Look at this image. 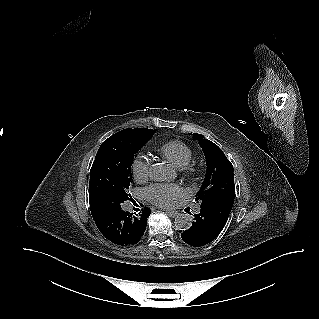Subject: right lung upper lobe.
I'll return each instance as SVG.
<instances>
[{
	"label": "right lung upper lobe",
	"mask_w": 319,
	"mask_h": 319,
	"mask_svg": "<svg viewBox=\"0 0 319 319\" xmlns=\"http://www.w3.org/2000/svg\"><path fill=\"white\" fill-rule=\"evenodd\" d=\"M130 135L137 137V138H145L148 136L150 129L147 128H136V129H124Z\"/></svg>",
	"instance_id": "obj_1"
}]
</instances>
